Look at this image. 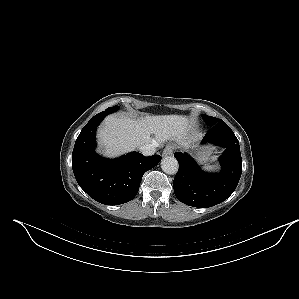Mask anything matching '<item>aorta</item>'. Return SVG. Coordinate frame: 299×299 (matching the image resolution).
Returning a JSON list of instances; mask_svg holds the SVG:
<instances>
[{
	"instance_id": "aorta-1",
	"label": "aorta",
	"mask_w": 299,
	"mask_h": 299,
	"mask_svg": "<svg viewBox=\"0 0 299 299\" xmlns=\"http://www.w3.org/2000/svg\"><path fill=\"white\" fill-rule=\"evenodd\" d=\"M161 168L167 174H176L179 168L178 161L172 156H167L161 161Z\"/></svg>"
}]
</instances>
